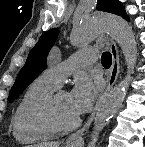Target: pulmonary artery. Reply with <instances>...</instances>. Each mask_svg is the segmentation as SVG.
I'll list each match as a JSON object with an SVG mask.
<instances>
[{
	"label": "pulmonary artery",
	"instance_id": "1",
	"mask_svg": "<svg viewBox=\"0 0 145 147\" xmlns=\"http://www.w3.org/2000/svg\"><path fill=\"white\" fill-rule=\"evenodd\" d=\"M97 58L98 55L96 49L77 52L65 61L52 64L44 71L43 74L60 85L69 74L79 69L80 67L93 64L96 62Z\"/></svg>",
	"mask_w": 145,
	"mask_h": 147
}]
</instances>
